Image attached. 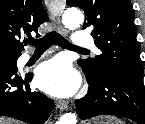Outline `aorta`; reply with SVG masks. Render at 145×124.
<instances>
[{"mask_svg":"<svg viewBox=\"0 0 145 124\" xmlns=\"http://www.w3.org/2000/svg\"><path fill=\"white\" fill-rule=\"evenodd\" d=\"M84 16L78 9H67L62 15V23L69 30L77 29L82 24ZM57 124H77L75 113H67L63 115Z\"/></svg>","mask_w":145,"mask_h":124,"instance_id":"1","label":"aorta"}]
</instances>
